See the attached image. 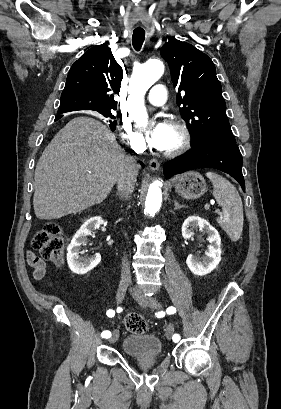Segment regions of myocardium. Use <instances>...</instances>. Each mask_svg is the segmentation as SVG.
I'll return each mask as SVG.
<instances>
[{"label":"myocardium","instance_id":"1","mask_svg":"<svg viewBox=\"0 0 281 409\" xmlns=\"http://www.w3.org/2000/svg\"><path fill=\"white\" fill-rule=\"evenodd\" d=\"M168 127L176 130L180 134L179 144L170 150H159L160 153L166 158H174L183 154L191 145L192 135L189 128L182 122L172 120L168 123Z\"/></svg>","mask_w":281,"mask_h":409}]
</instances>
